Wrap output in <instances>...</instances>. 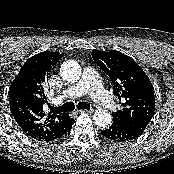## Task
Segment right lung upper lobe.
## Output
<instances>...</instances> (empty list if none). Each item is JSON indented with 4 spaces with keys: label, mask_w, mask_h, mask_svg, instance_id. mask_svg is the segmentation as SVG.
Instances as JSON below:
<instances>
[{
    "label": "right lung upper lobe",
    "mask_w": 174,
    "mask_h": 174,
    "mask_svg": "<svg viewBox=\"0 0 174 174\" xmlns=\"http://www.w3.org/2000/svg\"><path fill=\"white\" fill-rule=\"evenodd\" d=\"M62 57L57 52H41L29 58L9 89L11 114L21 129L38 141H52L68 131L74 120L67 114L44 111L48 75Z\"/></svg>",
    "instance_id": "cb5924a9"
}]
</instances>
